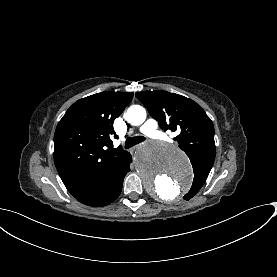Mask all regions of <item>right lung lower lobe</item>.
<instances>
[{
	"label": "right lung lower lobe",
	"mask_w": 277,
	"mask_h": 277,
	"mask_svg": "<svg viewBox=\"0 0 277 277\" xmlns=\"http://www.w3.org/2000/svg\"><path fill=\"white\" fill-rule=\"evenodd\" d=\"M131 162L132 157L127 153L103 178L74 197L81 203L93 207L110 204L120 195L123 179L130 171Z\"/></svg>",
	"instance_id": "right-lung-lower-lobe-1"
}]
</instances>
